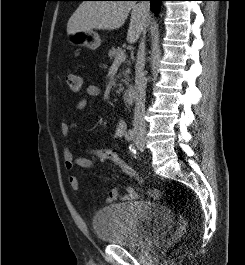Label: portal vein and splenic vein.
Segmentation results:
<instances>
[{
	"label": "portal vein and splenic vein",
	"mask_w": 245,
	"mask_h": 265,
	"mask_svg": "<svg viewBox=\"0 0 245 265\" xmlns=\"http://www.w3.org/2000/svg\"><path fill=\"white\" fill-rule=\"evenodd\" d=\"M125 59H126V55H125V53H121V54H119V55L115 58L114 62H115V63H121V62H123Z\"/></svg>",
	"instance_id": "obj_1"
}]
</instances>
